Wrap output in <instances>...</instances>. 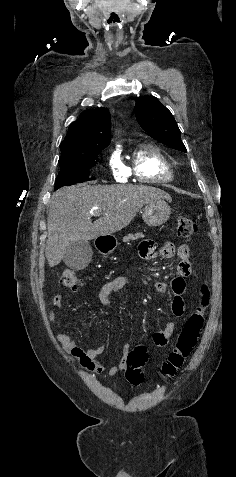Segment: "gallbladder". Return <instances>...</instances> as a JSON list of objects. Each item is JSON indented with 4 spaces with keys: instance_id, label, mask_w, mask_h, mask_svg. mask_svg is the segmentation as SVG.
<instances>
[{
    "instance_id": "1",
    "label": "gallbladder",
    "mask_w": 236,
    "mask_h": 477,
    "mask_svg": "<svg viewBox=\"0 0 236 477\" xmlns=\"http://www.w3.org/2000/svg\"><path fill=\"white\" fill-rule=\"evenodd\" d=\"M92 258V248L88 241L71 242L64 251L63 261L73 270H82L88 266Z\"/></svg>"
}]
</instances>
